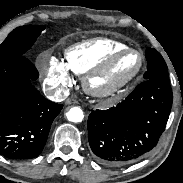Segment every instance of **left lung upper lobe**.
I'll return each instance as SVG.
<instances>
[{
    "instance_id": "1",
    "label": "left lung upper lobe",
    "mask_w": 183,
    "mask_h": 183,
    "mask_svg": "<svg viewBox=\"0 0 183 183\" xmlns=\"http://www.w3.org/2000/svg\"><path fill=\"white\" fill-rule=\"evenodd\" d=\"M147 71L144 74L145 80L169 81L167 65L159 52L155 49L146 50Z\"/></svg>"
}]
</instances>
